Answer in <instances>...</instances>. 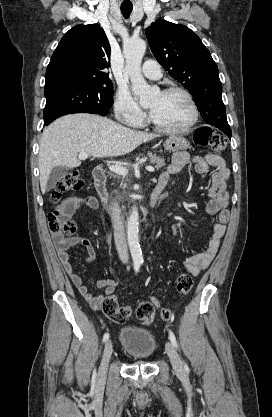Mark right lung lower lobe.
Instances as JSON below:
<instances>
[{"instance_id": "right-lung-lower-lobe-1", "label": "right lung lower lobe", "mask_w": 272, "mask_h": 417, "mask_svg": "<svg viewBox=\"0 0 272 417\" xmlns=\"http://www.w3.org/2000/svg\"><path fill=\"white\" fill-rule=\"evenodd\" d=\"M81 112H84V113H95V112H92V111H85V110H81V111H73V112H69V113H66V114L81 113ZM66 114H64V115H66ZM62 116H63V115H62ZM51 122H52V121H51ZM51 122L46 123L45 125H48V124H50Z\"/></svg>"}]
</instances>
